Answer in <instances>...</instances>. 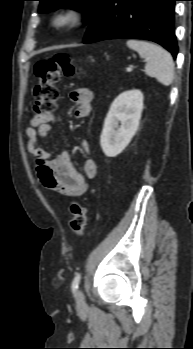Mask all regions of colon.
Returning a JSON list of instances; mask_svg holds the SVG:
<instances>
[{
    "label": "colon",
    "instance_id": "5ec220e1",
    "mask_svg": "<svg viewBox=\"0 0 193 349\" xmlns=\"http://www.w3.org/2000/svg\"><path fill=\"white\" fill-rule=\"evenodd\" d=\"M77 67L66 55H57L53 59L39 61L35 73L39 83L34 90V109L37 115L52 114L56 110L59 98L58 82L62 77H72ZM72 231L79 237L85 234L87 210L80 203L73 202L70 207Z\"/></svg>",
    "mask_w": 193,
    "mask_h": 349
}]
</instances>
